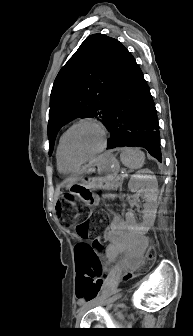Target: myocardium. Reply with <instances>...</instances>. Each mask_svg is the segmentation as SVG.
<instances>
[{"label": "myocardium", "instance_id": "myocardium-1", "mask_svg": "<svg viewBox=\"0 0 193 336\" xmlns=\"http://www.w3.org/2000/svg\"><path fill=\"white\" fill-rule=\"evenodd\" d=\"M82 124H91L95 127H97L102 135H103V141H102V144L100 146V148L95 151L94 153L86 156V157H82V158H74L73 156H71L68 152V149H67V138L70 134V132L75 129L76 127L82 125ZM107 142H108V131L107 129L105 128V126L100 123L99 121L95 120V119H92V118H83V119H80L76 122H74L65 132L64 134L62 135V141H61V150H62V154H63V157L64 159L71 163V164H81L83 162H86L88 160H91L93 159L94 157L98 156L99 154H101L106 146H107Z\"/></svg>", "mask_w": 193, "mask_h": 336}]
</instances>
